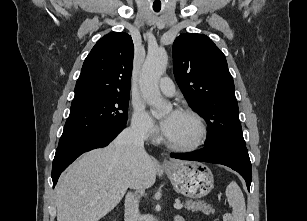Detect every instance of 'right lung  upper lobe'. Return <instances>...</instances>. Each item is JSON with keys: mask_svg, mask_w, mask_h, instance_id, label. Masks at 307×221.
Segmentation results:
<instances>
[{"mask_svg": "<svg viewBox=\"0 0 307 221\" xmlns=\"http://www.w3.org/2000/svg\"><path fill=\"white\" fill-rule=\"evenodd\" d=\"M133 55V41L127 33L103 36L84 61L72 102L129 93Z\"/></svg>", "mask_w": 307, "mask_h": 221, "instance_id": "obj_1", "label": "right lung upper lobe"}]
</instances>
